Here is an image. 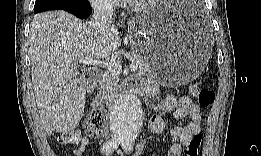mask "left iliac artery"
<instances>
[{
	"label": "left iliac artery",
	"mask_w": 261,
	"mask_h": 156,
	"mask_svg": "<svg viewBox=\"0 0 261 156\" xmlns=\"http://www.w3.org/2000/svg\"><path fill=\"white\" fill-rule=\"evenodd\" d=\"M121 145H122V148L125 151H131V149H132V140L124 139V140L121 141Z\"/></svg>",
	"instance_id": "44dca946"
}]
</instances>
